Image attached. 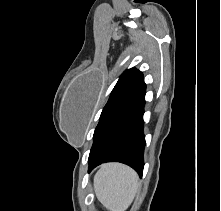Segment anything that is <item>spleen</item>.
<instances>
[{
  "instance_id": "3e777b00",
  "label": "spleen",
  "mask_w": 221,
  "mask_h": 211,
  "mask_svg": "<svg viewBox=\"0 0 221 211\" xmlns=\"http://www.w3.org/2000/svg\"><path fill=\"white\" fill-rule=\"evenodd\" d=\"M138 189L137 174L122 164H105L94 176L96 196L111 211H125Z\"/></svg>"
}]
</instances>
